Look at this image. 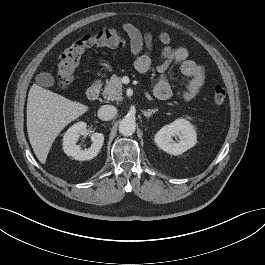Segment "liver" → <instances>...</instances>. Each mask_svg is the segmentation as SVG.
<instances>
[{"label":"liver","mask_w":265,"mask_h":265,"mask_svg":"<svg viewBox=\"0 0 265 265\" xmlns=\"http://www.w3.org/2000/svg\"><path fill=\"white\" fill-rule=\"evenodd\" d=\"M88 110V106L71 101L37 84L30 88L27 100V132L33 151L46 163L53 142L66 125Z\"/></svg>","instance_id":"liver-1"}]
</instances>
